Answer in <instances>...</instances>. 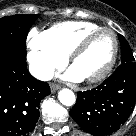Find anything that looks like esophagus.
Returning a JSON list of instances; mask_svg holds the SVG:
<instances>
[{
	"instance_id": "1",
	"label": "esophagus",
	"mask_w": 136,
	"mask_h": 136,
	"mask_svg": "<svg viewBox=\"0 0 136 136\" xmlns=\"http://www.w3.org/2000/svg\"><path fill=\"white\" fill-rule=\"evenodd\" d=\"M59 89V86L57 84H50V90H51V93H55L57 90Z\"/></svg>"
}]
</instances>
